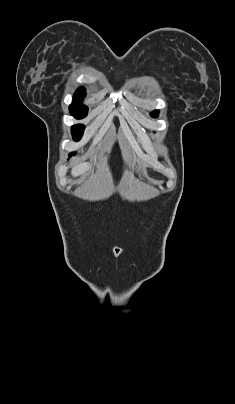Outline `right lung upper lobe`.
Here are the masks:
<instances>
[{
    "label": "right lung upper lobe",
    "instance_id": "obj_1",
    "mask_svg": "<svg viewBox=\"0 0 235 404\" xmlns=\"http://www.w3.org/2000/svg\"><path fill=\"white\" fill-rule=\"evenodd\" d=\"M85 89L84 88H80L76 91L74 98H73V104H79L77 103V101H80L84 96H85Z\"/></svg>",
    "mask_w": 235,
    "mask_h": 404
}]
</instances>
